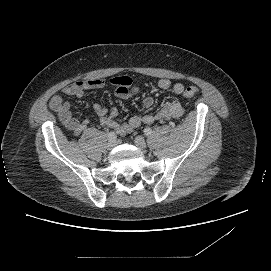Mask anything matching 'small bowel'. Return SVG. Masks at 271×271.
Returning <instances> with one entry per match:
<instances>
[{"mask_svg":"<svg viewBox=\"0 0 271 271\" xmlns=\"http://www.w3.org/2000/svg\"><path fill=\"white\" fill-rule=\"evenodd\" d=\"M107 84L104 79H89L78 80L67 86H65L61 93L54 95L49 102L51 110L58 114L60 122L64 127L72 132L75 136L80 135L89 124L88 119L78 120L71 111V106L68 101L64 99V96H75L76 98H83L86 91L96 88H102ZM110 84L114 86V91L117 97L127 99L133 92L132 80L127 76H122L110 80ZM158 87L161 90L171 89L176 95L184 93L185 87L181 83L172 84L169 79H160L158 81ZM154 100L152 97H146L143 100L145 108L149 109L153 106ZM95 114L100 118L102 125L108 126L114 129L118 134H128L134 129L138 128L142 124H153L157 121L169 120L172 118L181 117L186 107L177 100H171L166 102L159 111L156 113H147L141 116H133L125 124H118L116 117L118 115L116 108H105L102 105L96 103L92 106Z\"/></svg>","mask_w":271,"mask_h":271,"instance_id":"obj_1","label":"small bowel"}]
</instances>
